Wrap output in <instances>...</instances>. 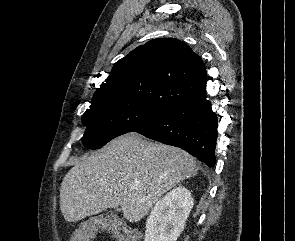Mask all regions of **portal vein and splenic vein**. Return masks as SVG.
Instances as JSON below:
<instances>
[{
    "label": "portal vein and splenic vein",
    "instance_id": "18ae733b",
    "mask_svg": "<svg viewBox=\"0 0 295 241\" xmlns=\"http://www.w3.org/2000/svg\"><path fill=\"white\" fill-rule=\"evenodd\" d=\"M138 187V184L132 185V189H136Z\"/></svg>",
    "mask_w": 295,
    "mask_h": 241
}]
</instances>
